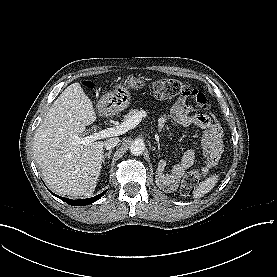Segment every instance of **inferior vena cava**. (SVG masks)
<instances>
[{"label":"inferior vena cava","mask_w":277,"mask_h":277,"mask_svg":"<svg viewBox=\"0 0 277 277\" xmlns=\"http://www.w3.org/2000/svg\"><path fill=\"white\" fill-rule=\"evenodd\" d=\"M118 143H119L118 137L109 138L104 142V148L107 150H110V149L116 147L118 145Z\"/></svg>","instance_id":"1"}]
</instances>
